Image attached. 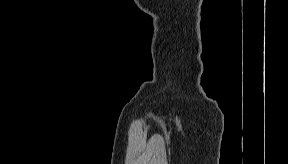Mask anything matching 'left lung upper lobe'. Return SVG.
Masks as SVG:
<instances>
[{
	"instance_id": "5c2ea615",
	"label": "left lung upper lobe",
	"mask_w": 288,
	"mask_h": 164,
	"mask_svg": "<svg viewBox=\"0 0 288 164\" xmlns=\"http://www.w3.org/2000/svg\"><path fill=\"white\" fill-rule=\"evenodd\" d=\"M222 82H224V79H223V78H219V79L216 81L215 85H216V84H221Z\"/></svg>"
}]
</instances>
